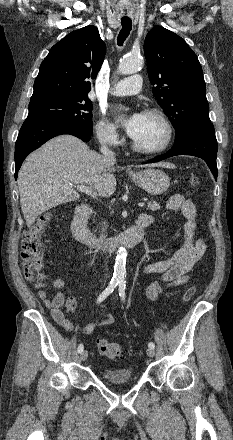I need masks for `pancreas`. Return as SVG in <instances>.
I'll list each match as a JSON object with an SVG mask.
<instances>
[{"instance_id":"obj_1","label":"pancreas","mask_w":233,"mask_h":440,"mask_svg":"<svg viewBox=\"0 0 233 440\" xmlns=\"http://www.w3.org/2000/svg\"><path fill=\"white\" fill-rule=\"evenodd\" d=\"M147 209L150 211H157L160 209V205L156 201L148 202Z\"/></svg>"}]
</instances>
